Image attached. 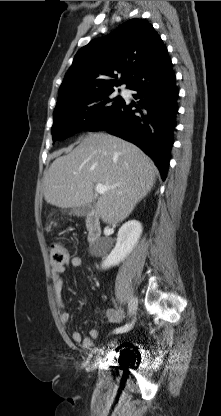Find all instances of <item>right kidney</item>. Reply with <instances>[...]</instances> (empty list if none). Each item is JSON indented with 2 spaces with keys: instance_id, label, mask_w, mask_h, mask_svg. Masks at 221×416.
<instances>
[{
  "instance_id": "obj_1",
  "label": "right kidney",
  "mask_w": 221,
  "mask_h": 416,
  "mask_svg": "<svg viewBox=\"0 0 221 416\" xmlns=\"http://www.w3.org/2000/svg\"><path fill=\"white\" fill-rule=\"evenodd\" d=\"M142 234V224L137 220L124 223L118 231L114 249L102 262V268L107 269L118 265L131 253Z\"/></svg>"
}]
</instances>
